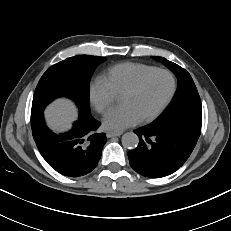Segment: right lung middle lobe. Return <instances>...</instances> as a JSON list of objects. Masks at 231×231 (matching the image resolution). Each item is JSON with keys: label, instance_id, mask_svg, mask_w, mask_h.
I'll use <instances>...</instances> for the list:
<instances>
[{"label": "right lung middle lobe", "instance_id": "1", "mask_svg": "<svg viewBox=\"0 0 231 231\" xmlns=\"http://www.w3.org/2000/svg\"><path fill=\"white\" fill-rule=\"evenodd\" d=\"M105 60L99 56L79 55L51 66L36 87L31 112L43 110L48 103L62 96L74 100L80 111L90 112L88 82L96 66Z\"/></svg>", "mask_w": 231, "mask_h": 231}]
</instances>
